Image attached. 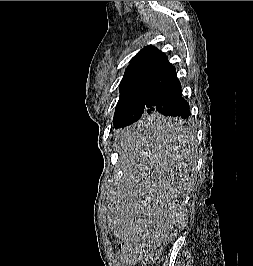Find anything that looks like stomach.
Segmentation results:
<instances>
[{"label":"stomach","mask_w":253,"mask_h":266,"mask_svg":"<svg viewBox=\"0 0 253 266\" xmlns=\"http://www.w3.org/2000/svg\"><path fill=\"white\" fill-rule=\"evenodd\" d=\"M186 136V140H188L190 137L189 136H187V135H185Z\"/></svg>","instance_id":"1"}]
</instances>
